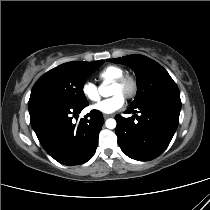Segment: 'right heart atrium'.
I'll list each match as a JSON object with an SVG mask.
<instances>
[{"mask_svg":"<svg viewBox=\"0 0 210 210\" xmlns=\"http://www.w3.org/2000/svg\"><path fill=\"white\" fill-rule=\"evenodd\" d=\"M81 93L88 102H96L100 99L99 87L90 80H85L81 85Z\"/></svg>","mask_w":210,"mask_h":210,"instance_id":"d8ad5b80","label":"right heart atrium"}]
</instances>
